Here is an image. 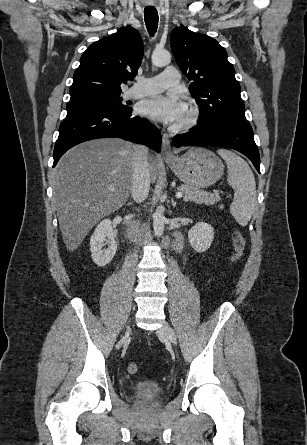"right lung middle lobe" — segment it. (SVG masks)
<instances>
[{"label": "right lung middle lobe", "instance_id": "obj_1", "mask_svg": "<svg viewBox=\"0 0 307 445\" xmlns=\"http://www.w3.org/2000/svg\"><path fill=\"white\" fill-rule=\"evenodd\" d=\"M122 98L120 95H100V96H88L82 98L70 99L67 103V111L75 108L83 107H114L125 110H131L130 107L121 103Z\"/></svg>", "mask_w": 307, "mask_h": 445}]
</instances>
